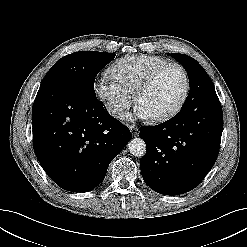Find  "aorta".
<instances>
[{"instance_id":"aorta-1","label":"aorta","mask_w":247,"mask_h":247,"mask_svg":"<svg viewBox=\"0 0 247 247\" xmlns=\"http://www.w3.org/2000/svg\"><path fill=\"white\" fill-rule=\"evenodd\" d=\"M128 149L132 155L142 157L146 153V144L141 138H133L128 143Z\"/></svg>"}]
</instances>
